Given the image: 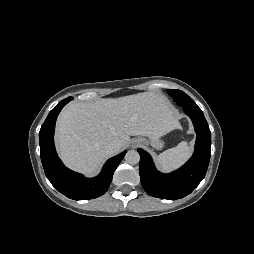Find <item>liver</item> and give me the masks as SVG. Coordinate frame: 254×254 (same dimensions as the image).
Listing matches in <instances>:
<instances>
[{
    "label": "liver",
    "instance_id": "6515ba94",
    "mask_svg": "<svg viewBox=\"0 0 254 254\" xmlns=\"http://www.w3.org/2000/svg\"><path fill=\"white\" fill-rule=\"evenodd\" d=\"M177 127L178 119L167 98L143 92L69 104L58 117L56 141L64 163L91 176L108 158L105 147L109 143L116 142L121 149L128 146L130 136L155 140Z\"/></svg>",
    "mask_w": 254,
    "mask_h": 254
}]
</instances>
